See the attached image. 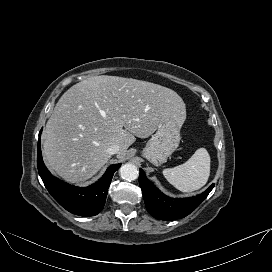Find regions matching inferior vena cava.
<instances>
[{
    "label": "inferior vena cava",
    "mask_w": 272,
    "mask_h": 272,
    "mask_svg": "<svg viewBox=\"0 0 272 272\" xmlns=\"http://www.w3.org/2000/svg\"><path fill=\"white\" fill-rule=\"evenodd\" d=\"M119 149H120L119 145L115 144V145L110 146L107 149V152L109 153V155H114L119 152Z\"/></svg>",
    "instance_id": "602c4592"
}]
</instances>
